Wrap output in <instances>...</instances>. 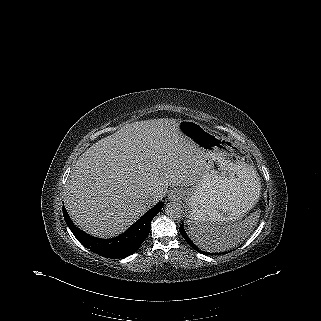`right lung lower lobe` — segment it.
I'll list each match as a JSON object with an SVG mask.
<instances>
[{"label": "right lung lower lobe", "mask_w": 321, "mask_h": 321, "mask_svg": "<svg viewBox=\"0 0 321 321\" xmlns=\"http://www.w3.org/2000/svg\"><path fill=\"white\" fill-rule=\"evenodd\" d=\"M162 207L163 202H159L126 232L111 239L95 238L79 230L71 221L65 207H63V215L76 239L87 249L106 258H124L133 254L147 238L151 228V221Z\"/></svg>", "instance_id": "98d812e1"}]
</instances>
